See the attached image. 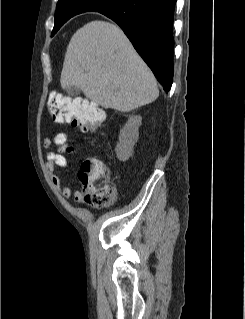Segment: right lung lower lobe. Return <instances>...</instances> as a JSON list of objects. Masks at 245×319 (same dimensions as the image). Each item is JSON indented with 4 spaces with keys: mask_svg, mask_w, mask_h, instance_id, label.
I'll return each mask as SVG.
<instances>
[{
    "mask_svg": "<svg viewBox=\"0 0 245 319\" xmlns=\"http://www.w3.org/2000/svg\"><path fill=\"white\" fill-rule=\"evenodd\" d=\"M175 3L176 0H123L99 11L122 28L166 92L173 82Z\"/></svg>",
    "mask_w": 245,
    "mask_h": 319,
    "instance_id": "98d812e1",
    "label": "right lung lower lobe"
}]
</instances>
